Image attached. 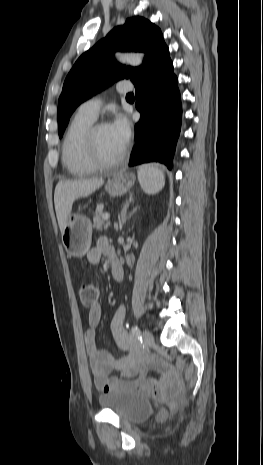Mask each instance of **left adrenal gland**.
Wrapping results in <instances>:
<instances>
[{"instance_id": "left-adrenal-gland-1", "label": "left adrenal gland", "mask_w": 263, "mask_h": 465, "mask_svg": "<svg viewBox=\"0 0 263 465\" xmlns=\"http://www.w3.org/2000/svg\"><path fill=\"white\" fill-rule=\"evenodd\" d=\"M133 201V199H130L124 206L122 212H121V220H120V227H122V225L124 223H126L127 219L130 218L132 216V214L137 210V207L134 208L131 213L129 214V216H127V209L129 208V205L130 203Z\"/></svg>"}]
</instances>
